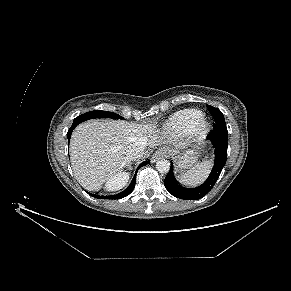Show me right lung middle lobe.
I'll return each mask as SVG.
<instances>
[{
	"mask_svg": "<svg viewBox=\"0 0 291 291\" xmlns=\"http://www.w3.org/2000/svg\"><path fill=\"white\" fill-rule=\"evenodd\" d=\"M93 118H111V119H120L122 118L120 115L113 113V112H108V111H102V110H95V111H90L84 114L79 115L74 119V123H81L89 119Z\"/></svg>",
	"mask_w": 291,
	"mask_h": 291,
	"instance_id": "obj_1",
	"label": "right lung middle lobe"
}]
</instances>
